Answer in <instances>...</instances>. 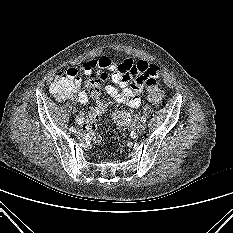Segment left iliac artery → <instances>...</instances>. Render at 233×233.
Returning <instances> with one entry per match:
<instances>
[{
  "instance_id": "44dca946",
  "label": "left iliac artery",
  "mask_w": 233,
  "mask_h": 233,
  "mask_svg": "<svg viewBox=\"0 0 233 233\" xmlns=\"http://www.w3.org/2000/svg\"><path fill=\"white\" fill-rule=\"evenodd\" d=\"M141 122L145 123L146 122V117L142 116L141 117Z\"/></svg>"
}]
</instances>
